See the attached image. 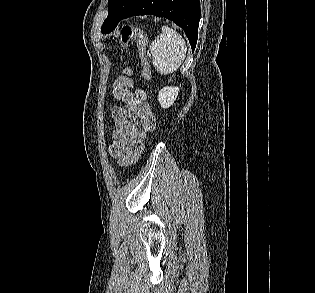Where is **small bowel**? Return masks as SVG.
Instances as JSON below:
<instances>
[{
	"label": "small bowel",
	"mask_w": 315,
	"mask_h": 293,
	"mask_svg": "<svg viewBox=\"0 0 315 293\" xmlns=\"http://www.w3.org/2000/svg\"><path fill=\"white\" fill-rule=\"evenodd\" d=\"M113 95L123 105L111 108L114 129L109 152L124 164L155 128L156 118L143 91H133L130 87V91Z\"/></svg>",
	"instance_id": "obj_1"
}]
</instances>
